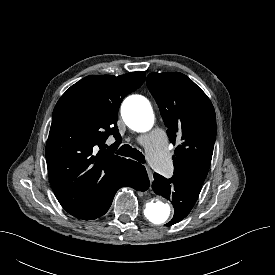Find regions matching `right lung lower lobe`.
<instances>
[{"mask_svg":"<svg viewBox=\"0 0 275 275\" xmlns=\"http://www.w3.org/2000/svg\"><path fill=\"white\" fill-rule=\"evenodd\" d=\"M123 186H130L139 191L147 190L149 179L145 167L135 161L129 162L109 196L93 212L82 219H96L104 215L111 206L116 191Z\"/></svg>","mask_w":275,"mask_h":275,"instance_id":"obj_1","label":"right lung lower lobe"}]
</instances>
